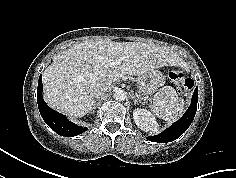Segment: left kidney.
<instances>
[{
    "label": "left kidney",
    "mask_w": 236,
    "mask_h": 178,
    "mask_svg": "<svg viewBox=\"0 0 236 178\" xmlns=\"http://www.w3.org/2000/svg\"><path fill=\"white\" fill-rule=\"evenodd\" d=\"M133 119L141 130L153 134L158 133V124L154 116L148 110L135 108L133 110Z\"/></svg>",
    "instance_id": "5707ae66"
}]
</instances>
